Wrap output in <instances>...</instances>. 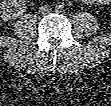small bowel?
<instances>
[{
  "label": "small bowel",
  "mask_w": 111,
  "mask_h": 106,
  "mask_svg": "<svg viewBox=\"0 0 111 106\" xmlns=\"http://www.w3.org/2000/svg\"><path fill=\"white\" fill-rule=\"evenodd\" d=\"M85 2H87V3H98V2H102V1L101 0H99V1L86 0Z\"/></svg>",
  "instance_id": "1"
}]
</instances>
